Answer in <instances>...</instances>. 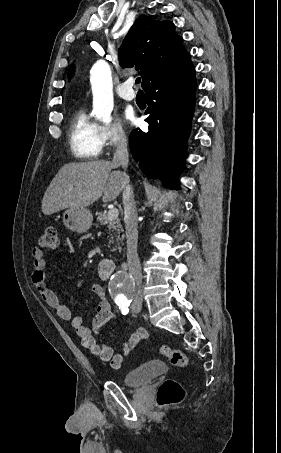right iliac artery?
<instances>
[{
  "instance_id": "1",
  "label": "right iliac artery",
  "mask_w": 281,
  "mask_h": 453,
  "mask_svg": "<svg viewBox=\"0 0 281 453\" xmlns=\"http://www.w3.org/2000/svg\"><path fill=\"white\" fill-rule=\"evenodd\" d=\"M128 307H129V305H127V304L119 305V309L121 310L123 315H126L129 312Z\"/></svg>"
}]
</instances>
